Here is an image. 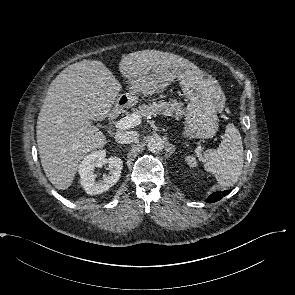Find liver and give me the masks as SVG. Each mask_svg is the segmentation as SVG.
Masks as SVG:
<instances>
[{
	"label": "liver",
	"mask_w": 295,
	"mask_h": 295,
	"mask_svg": "<svg viewBox=\"0 0 295 295\" xmlns=\"http://www.w3.org/2000/svg\"><path fill=\"white\" fill-rule=\"evenodd\" d=\"M198 69L183 57L157 50H142L122 58L119 70L129 92L153 94V70ZM150 70H152L150 72ZM138 78V79H137ZM121 86L98 60H83L66 67L50 84L37 119V144L43 170L58 189L71 186L84 156L106 144L105 135L91 121L104 120ZM141 95V94H139ZM136 102L128 100L127 104Z\"/></svg>",
	"instance_id": "liver-1"
}]
</instances>
